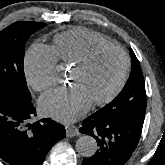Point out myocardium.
Masks as SVG:
<instances>
[{
    "label": "myocardium",
    "instance_id": "obj_1",
    "mask_svg": "<svg viewBox=\"0 0 165 165\" xmlns=\"http://www.w3.org/2000/svg\"><path fill=\"white\" fill-rule=\"evenodd\" d=\"M108 49L115 50L122 55L123 68H122L120 77H119L117 83L115 84V86L113 87V89L104 97H102L100 99H96L91 102L93 105H97V106L107 104L108 102L113 100L116 97V95L120 92L122 87L124 86L125 81L127 79L129 67H130V61H129L128 54L126 53V51L123 48H121L118 45H115L112 43L100 44V45L93 47L79 62H77L74 65L75 69L83 70L90 65V63L92 62V60L95 58V56L98 53H100L103 50H108Z\"/></svg>",
    "mask_w": 165,
    "mask_h": 165
}]
</instances>
